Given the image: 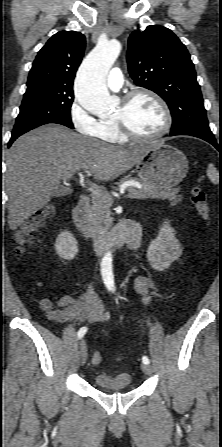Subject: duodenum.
Here are the masks:
<instances>
[{"instance_id":"1","label":"duodenum","mask_w":222,"mask_h":447,"mask_svg":"<svg viewBox=\"0 0 222 447\" xmlns=\"http://www.w3.org/2000/svg\"><path fill=\"white\" fill-rule=\"evenodd\" d=\"M90 208V198L87 195H81L78 204L72 212L73 226L78 235L96 251L105 253L111 247L114 249L127 245L135 250L139 247L141 239V226L135 220H126L117 224L110 233L102 239L94 240L89 237L85 221Z\"/></svg>"}]
</instances>
